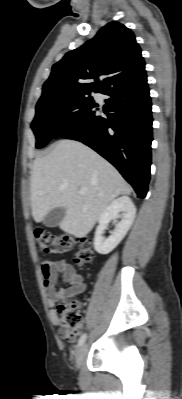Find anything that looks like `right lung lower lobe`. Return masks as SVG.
Segmentation results:
<instances>
[{
  "mask_svg": "<svg viewBox=\"0 0 182 399\" xmlns=\"http://www.w3.org/2000/svg\"><path fill=\"white\" fill-rule=\"evenodd\" d=\"M106 117L96 113L81 128L60 137L81 141L112 163L145 198L150 180L152 112L146 75L114 85ZM110 111V112H108Z\"/></svg>",
  "mask_w": 182,
  "mask_h": 399,
  "instance_id": "obj_1",
  "label": "right lung lower lobe"
}]
</instances>
